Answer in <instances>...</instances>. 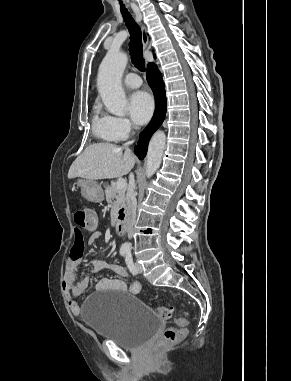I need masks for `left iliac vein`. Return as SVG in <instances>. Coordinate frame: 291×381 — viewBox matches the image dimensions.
<instances>
[{"label": "left iliac vein", "instance_id": "left-iliac-vein-1", "mask_svg": "<svg viewBox=\"0 0 291 381\" xmlns=\"http://www.w3.org/2000/svg\"><path fill=\"white\" fill-rule=\"evenodd\" d=\"M135 268L138 274L142 273V266L138 262L135 263Z\"/></svg>", "mask_w": 291, "mask_h": 381}]
</instances>
